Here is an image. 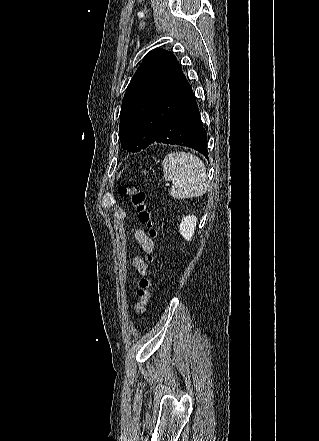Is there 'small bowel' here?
<instances>
[{"mask_svg": "<svg viewBox=\"0 0 319 441\" xmlns=\"http://www.w3.org/2000/svg\"><path fill=\"white\" fill-rule=\"evenodd\" d=\"M134 236L145 252L149 253L152 251L153 241L147 236L144 230L139 228L135 229ZM133 265L141 273H144L147 267V265L145 264L144 260L141 257H136L133 260Z\"/></svg>", "mask_w": 319, "mask_h": 441, "instance_id": "1", "label": "small bowel"}]
</instances>
